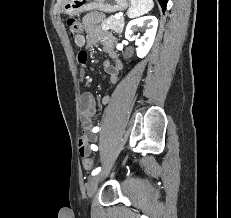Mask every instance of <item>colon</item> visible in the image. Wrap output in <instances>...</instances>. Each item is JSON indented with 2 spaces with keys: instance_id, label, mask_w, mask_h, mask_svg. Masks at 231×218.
Segmentation results:
<instances>
[{
  "instance_id": "5ec220e1",
  "label": "colon",
  "mask_w": 231,
  "mask_h": 218,
  "mask_svg": "<svg viewBox=\"0 0 231 218\" xmlns=\"http://www.w3.org/2000/svg\"><path fill=\"white\" fill-rule=\"evenodd\" d=\"M66 25L68 27L69 35L71 37H73L75 39L77 37L82 36L83 31H84V26L82 25V23L78 19H76L74 17H67L66 18ZM80 56H85V58H87V54L85 51H81L78 54V58H80ZM82 164L86 170H90L93 167V160L91 158H89L87 155H83L82 156Z\"/></svg>"
}]
</instances>
